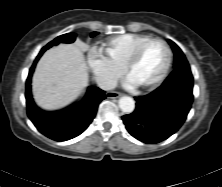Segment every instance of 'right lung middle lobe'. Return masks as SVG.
<instances>
[{
  "label": "right lung middle lobe",
  "instance_id": "obj_1",
  "mask_svg": "<svg viewBox=\"0 0 222 187\" xmlns=\"http://www.w3.org/2000/svg\"><path fill=\"white\" fill-rule=\"evenodd\" d=\"M97 34H98V32H93L91 34V37H94ZM75 37H76L75 33H67V34H64V35H61V36L55 38L53 41L48 43L46 46L48 48H50L54 45H58L59 43H72L75 41Z\"/></svg>",
  "mask_w": 222,
  "mask_h": 187
}]
</instances>
